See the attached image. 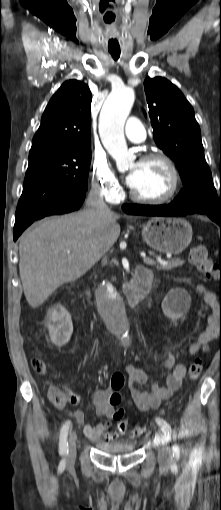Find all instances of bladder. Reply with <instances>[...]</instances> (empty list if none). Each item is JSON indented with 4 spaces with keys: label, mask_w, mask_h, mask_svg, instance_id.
I'll return each instance as SVG.
<instances>
[{
    "label": "bladder",
    "mask_w": 221,
    "mask_h": 510,
    "mask_svg": "<svg viewBox=\"0 0 221 510\" xmlns=\"http://www.w3.org/2000/svg\"><path fill=\"white\" fill-rule=\"evenodd\" d=\"M97 448L101 451L110 454H123L132 452L135 449V444L129 441H117L113 443H97Z\"/></svg>",
    "instance_id": "bladder-1"
}]
</instances>
